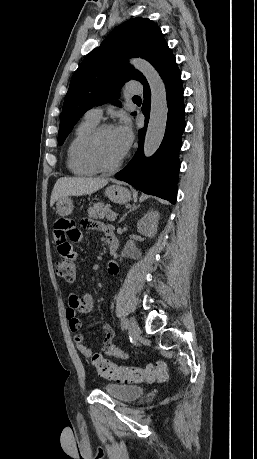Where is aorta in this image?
<instances>
[{"mask_svg":"<svg viewBox=\"0 0 257 459\" xmlns=\"http://www.w3.org/2000/svg\"><path fill=\"white\" fill-rule=\"evenodd\" d=\"M132 64L145 76L151 90L150 118L144 140V154L149 157L157 151L165 135L168 115L166 88L150 63L134 59Z\"/></svg>","mask_w":257,"mask_h":459,"instance_id":"1","label":"aorta"}]
</instances>
